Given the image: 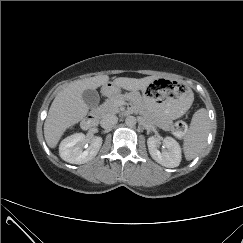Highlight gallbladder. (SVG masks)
I'll return each mask as SVG.
<instances>
[{
  "label": "gallbladder",
  "mask_w": 243,
  "mask_h": 243,
  "mask_svg": "<svg viewBox=\"0 0 243 243\" xmlns=\"http://www.w3.org/2000/svg\"><path fill=\"white\" fill-rule=\"evenodd\" d=\"M82 97L89 108L96 107L100 100L98 92L94 89H86L83 92Z\"/></svg>",
  "instance_id": "bac80fb5"
}]
</instances>
